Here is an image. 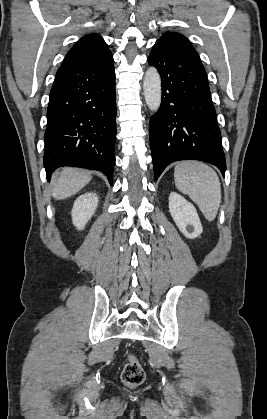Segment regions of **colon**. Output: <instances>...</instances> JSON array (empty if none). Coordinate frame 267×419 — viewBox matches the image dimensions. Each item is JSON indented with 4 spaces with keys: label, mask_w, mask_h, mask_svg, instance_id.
I'll use <instances>...</instances> for the list:
<instances>
[{
    "label": "colon",
    "mask_w": 267,
    "mask_h": 419,
    "mask_svg": "<svg viewBox=\"0 0 267 419\" xmlns=\"http://www.w3.org/2000/svg\"><path fill=\"white\" fill-rule=\"evenodd\" d=\"M121 378L124 384L130 387H136L143 383L145 371L135 356H127L126 363L121 372Z\"/></svg>",
    "instance_id": "5ec220e1"
}]
</instances>
